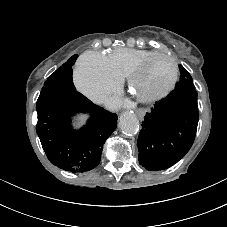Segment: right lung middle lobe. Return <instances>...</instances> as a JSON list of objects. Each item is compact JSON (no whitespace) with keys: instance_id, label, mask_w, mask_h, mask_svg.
Segmentation results:
<instances>
[{"instance_id":"right-lung-middle-lobe-1","label":"right lung middle lobe","mask_w":227,"mask_h":227,"mask_svg":"<svg viewBox=\"0 0 227 227\" xmlns=\"http://www.w3.org/2000/svg\"><path fill=\"white\" fill-rule=\"evenodd\" d=\"M77 55H73L66 63L52 73L45 81L42 91L45 89H55L57 91L75 90L72 80V66L76 61Z\"/></svg>"}]
</instances>
